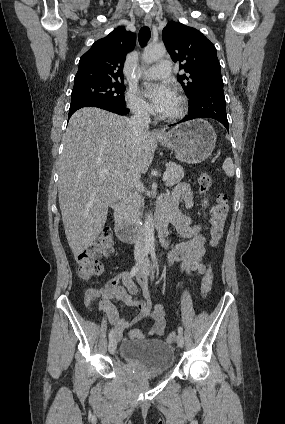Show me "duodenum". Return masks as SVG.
I'll return each mask as SVG.
<instances>
[{"instance_id":"1","label":"duodenum","mask_w":285,"mask_h":424,"mask_svg":"<svg viewBox=\"0 0 285 424\" xmlns=\"http://www.w3.org/2000/svg\"><path fill=\"white\" fill-rule=\"evenodd\" d=\"M113 209L114 230L118 239L125 243H136L142 240V230L125 219L123 202L116 200ZM154 220L159 236L164 238L168 232V218L163 213H158Z\"/></svg>"}]
</instances>
